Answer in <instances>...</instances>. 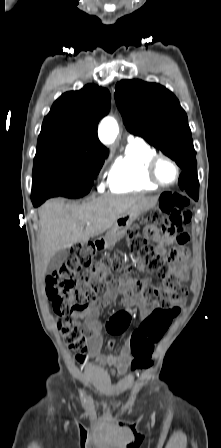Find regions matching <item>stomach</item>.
<instances>
[{
  "label": "stomach",
  "mask_w": 221,
  "mask_h": 448,
  "mask_svg": "<svg viewBox=\"0 0 221 448\" xmlns=\"http://www.w3.org/2000/svg\"><path fill=\"white\" fill-rule=\"evenodd\" d=\"M156 204L155 199H151L143 203L140 207L134 210H129L121 215L114 223V225L108 230L104 240L108 245H113L124 237L127 229L132 223L138 219V217L153 208Z\"/></svg>",
  "instance_id": "stomach-1"
}]
</instances>
